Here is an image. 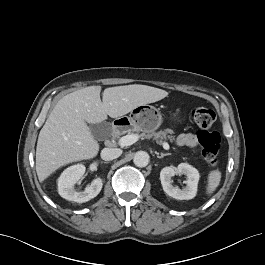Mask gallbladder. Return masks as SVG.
Masks as SVG:
<instances>
[{
	"instance_id": "bac80fb5",
	"label": "gallbladder",
	"mask_w": 265,
	"mask_h": 265,
	"mask_svg": "<svg viewBox=\"0 0 265 265\" xmlns=\"http://www.w3.org/2000/svg\"><path fill=\"white\" fill-rule=\"evenodd\" d=\"M90 130L96 139H105L111 132V124L108 122H101L98 124H91Z\"/></svg>"
}]
</instances>
